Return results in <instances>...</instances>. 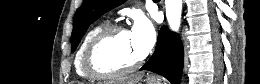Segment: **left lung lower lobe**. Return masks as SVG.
I'll use <instances>...</instances> for the list:
<instances>
[{"instance_id":"obj_1","label":"left lung lower lobe","mask_w":260,"mask_h":84,"mask_svg":"<svg viewBox=\"0 0 260 84\" xmlns=\"http://www.w3.org/2000/svg\"><path fill=\"white\" fill-rule=\"evenodd\" d=\"M183 57L180 38L163 26L159 31L155 52L141 70L163 75L172 84H177L181 77Z\"/></svg>"}]
</instances>
